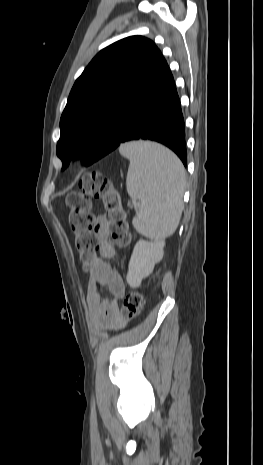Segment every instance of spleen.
<instances>
[{
  "label": "spleen",
  "mask_w": 263,
  "mask_h": 465,
  "mask_svg": "<svg viewBox=\"0 0 263 465\" xmlns=\"http://www.w3.org/2000/svg\"><path fill=\"white\" fill-rule=\"evenodd\" d=\"M119 151L130 160L127 192L140 200L134 228L153 240L172 235L182 214L186 183L182 162L167 148L149 142L125 143Z\"/></svg>",
  "instance_id": "1"
}]
</instances>
